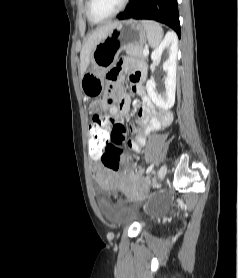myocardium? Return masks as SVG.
Masks as SVG:
<instances>
[{"instance_id": "obj_1", "label": "myocardium", "mask_w": 238, "mask_h": 278, "mask_svg": "<svg viewBox=\"0 0 238 278\" xmlns=\"http://www.w3.org/2000/svg\"><path fill=\"white\" fill-rule=\"evenodd\" d=\"M128 2H129V0H123L121 5L118 7V9H116L113 13L109 14L108 16L98 18L93 14V11H92L93 0H87L86 12H87V15L90 18V20H92L95 23H101V22H104L106 20H109V19L117 16L120 12H122L125 9Z\"/></svg>"}]
</instances>
